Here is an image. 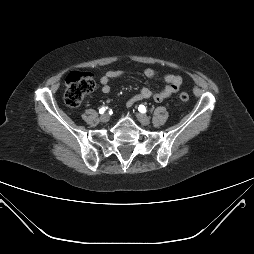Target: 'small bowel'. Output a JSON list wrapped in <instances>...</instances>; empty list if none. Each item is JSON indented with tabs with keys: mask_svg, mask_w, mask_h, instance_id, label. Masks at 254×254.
Returning a JSON list of instances; mask_svg holds the SVG:
<instances>
[{
	"mask_svg": "<svg viewBox=\"0 0 254 254\" xmlns=\"http://www.w3.org/2000/svg\"><path fill=\"white\" fill-rule=\"evenodd\" d=\"M122 75V71L118 69H111L107 71L101 78H100V85H101V91L104 94H108L111 91L110 87V81L113 79H116ZM144 75L147 78H152L155 75V71L152 68H146L144 70ZM164 81L166 83L165 87L160 90L159 92H152L149 88L144 87L140 90V92L134 96H132L126 106L129 108L131 107L134 103L141 101V100H146V99H153L155 102H162L166 100L168 97L176 93L182 83L183 80L181 76L175 75V74H167L164 77Z\"/></svg>",
	"mask_w": 254,
	"mask_h": 254,
	"instance_id": "c3829d8e",
	"label": "small bowel"
}]
</instances>
